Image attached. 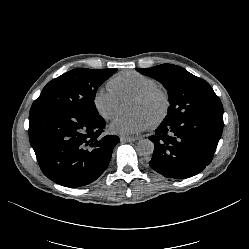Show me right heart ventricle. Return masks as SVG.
<instances>
[{"mask_svg":"<svg viewBox=\"0 0 249 249\" xmlns=\"http://www.w3.org/2000/svg\"><path fill=\"white\" fill-rule=\"evenodd\" d=\"M108 85L119 99H125L158 86V82L137 71H122L114 75Z\"/></svg>","mask_w":249,"mask_h":249,"instance_id":"obj_1","label":"right heart ventricle"}]
</instances>
